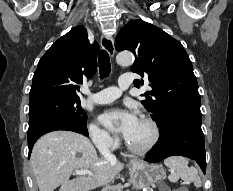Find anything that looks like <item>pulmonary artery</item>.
<instances>
[{
	"mask_svg": "<svg viewBox=\"0 0 233 191\" xmlns=\"http://www.w3.org/2000/svg\"><path fill=\"white\" fill-rule=\"evenodd\" d=\"M133 79L130 75H122L119 78L118 86L107 87L92 97L96 104H108L120 97L123 90L132 87Z\"/></svg>",
	"mask_w": 233,
	"mask_h": 191,
	"instance_id": "e3ab8cb5",
	"label": "pulmonary artery"
}]
</instances>
